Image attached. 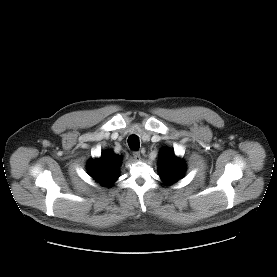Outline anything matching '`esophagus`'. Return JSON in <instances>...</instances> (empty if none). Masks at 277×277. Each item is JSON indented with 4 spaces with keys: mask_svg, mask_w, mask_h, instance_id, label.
Here are the masks:
<instances>
[{
    "mask_svg": "<svg viewBox=\"0 0 277 277\" xmlns=\"http://www.w3.org/2000/svg\"><path fill=\"white\" fill-rule=\"evenodd\" d=\"M133 157L135 158V160H140L141 159V155L139 151H134L133 152Z\"/></svg>",
    "mask_w": 277,
    "mask_h": 277,
    "instance_id": "1",
    "label": "esophagus"
}]
</instances>
